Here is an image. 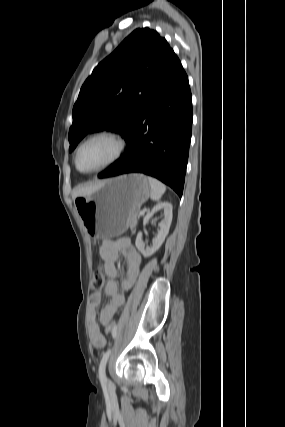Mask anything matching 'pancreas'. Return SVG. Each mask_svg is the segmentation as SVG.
Segmentation results:
<instances>
[{
  "instance_id": "cf45deb5",
  "label": "pancreas",
  "mask_w": 285,
  "mask_h": 427,
  "mask_svg": "<svg viewBox=\"0 0 285 427\" xmlns=\"http://www.w3.org/2000/svg\"><path fill=\"white\" fill-rule=\"evenodd\" d=\"M139 218V216H136L134 219H133V222L131 223V225H130V227H131V229H134V227H135V225H136V223H137V219Z\"/></svg>"
}]
</instances>
